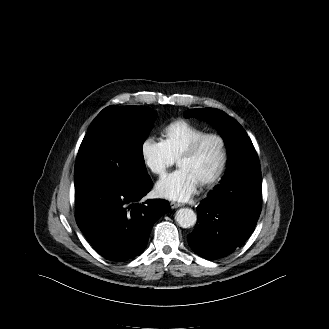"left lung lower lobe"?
<instances>
[{"label":"left lung lower lobe","instance_id":"left-lung-lower-lobe-1","mask_svg":"<svg viewBox=\"0 0 329 329\" xmlns=\"http://www.w3.org/2000/svg\"><path fill=\"white\" fill-rule=\"evenodd\" d=\"M223 197L205 198L197 207V224L188 235L192 250L203 258L225 257L252 234L261 211L259 161L222 186Z\"/></svg>","mask_w":329,"mask_h":329}]
</instances>
